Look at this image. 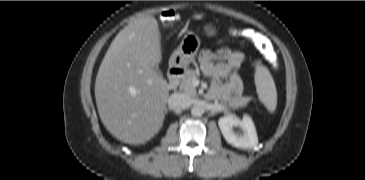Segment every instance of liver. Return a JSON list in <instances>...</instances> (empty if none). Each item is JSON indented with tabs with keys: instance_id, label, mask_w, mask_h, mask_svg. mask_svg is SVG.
<instances>
[{
	"instance_id": "obj_1",
	"label": "liver",
	"mask_w": 365,
	"mask_h": 180,
	"mask_svg": "<svg viewBox=\"0 0 365 180\" xmlns=\"http://www.w3.org/2000/svg\"><path fill=\"white\" fill-rule=\"evenodd\" d=\"M161 34L152 16L134 19L114 38L99 67L95 99L103 125L118 140L144 144L162 128L168 84L157 74Z\"/></svg>"
}]
</instances>
